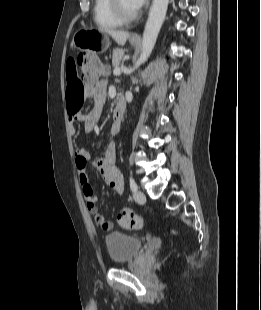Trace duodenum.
Here are the masks:
<instances>
[{
	"label": "duodenum",
	"mask_w": 261,
	"mask_h": 310,
	"mask_svg": "<svg viewBox=\"0 0 261 310\" xmlns=\"http://www.w3.org/2000/svg\"><path fill=\"white\" fill-rule=\"evenodd\" d=\"M126 108V103L123 99L118 100L113 110V118L116 122V125L119 126L121 119L123 118Z\"/></svg>",
	"instance_id": "obj_1"
}]
</instances>
